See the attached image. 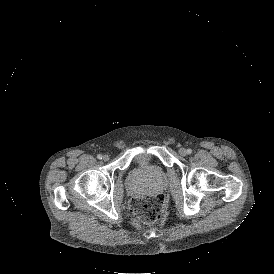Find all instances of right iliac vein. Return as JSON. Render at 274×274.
<instances>
[{"instance_id": "1", "label": "right iliac vein", "mask_w": 274, "mask_h": 274, "mask_svg": "<svg viewBox=\"0 0 274 274\" xmlns=\"http://www.w3.org/2000/svg\"><path fill=\"white\" fill-rule=\"evenodd\" d=\"M102 159H103V161L107 162V161H109L110 157L108 154H105V155H103Z\"/></svg>"}]
</instances>
